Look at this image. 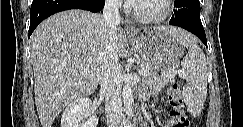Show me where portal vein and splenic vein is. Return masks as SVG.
I'll list each match as a JSON object with an SVG mask.
<instances>
[{"label": "portal vein and splenic vein", "instance_id": "18ae733b", "mask_svg": "<svg viewBox=\"0 0 243 127\" xmlns=\"http://www.w3.org/2000/svg\"><path fill=\"white\" fill-rule=\"evenodd\" d=\"M145 72H146V70L143 69V68H141V69L139 70V74H141V75H144ZM86 73H87V70H83V71H82V74H86Z\"/></svg>", "mask_w": 243, "mask_h": 127}]
</instances>
